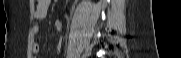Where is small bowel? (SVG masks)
<instances>
[{"instance_id":"small-bowel-1","label":"small bowel","mask_w":181,"mask_h":58,"mask_svg":"<svg viewBox=\"0 0 181 58\" xmlns=\"http://www.w3.org/2000/svg\"><path fill=\"white\" fill-rule=\"evenodd\" d=\"M50 6V0H38L34 12L35 24L33 26V33L36 35L39 32V24L43 21L48 13V9ZM56 29L60 31L62 29V25L60 22H56ZM58 49H60V45H58ZM32 51L34 53H38L40 51V46L37 42H34L32 45Z\"/></svg>"}]
</instances>
